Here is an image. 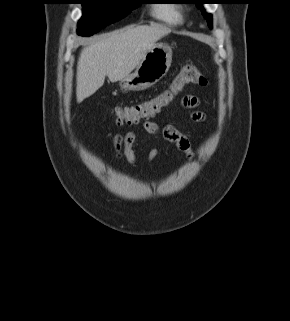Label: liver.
<instances>
[{
	"instance_id": "1",
	"label": "liver",
	"mask_w": 290,
	"mask_h": 321,
	"mask_svg": "<svg viewBox=\"0 0 290 321\" xmlns=\"http://www.w3.org/2000/svg\"><path fill=\"white\" fill-rule=\"evenodd\" d=\"M161 25L126 27L99 37L86 45L77 65V102L93 95L104 84L121 81L142 61L155 43L169 34Z\"/></svg>"
}]
</instances>
